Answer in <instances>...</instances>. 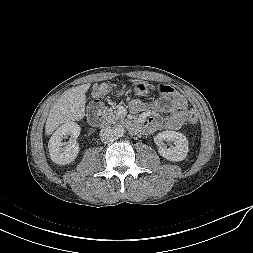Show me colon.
<instances>
[{
	"mask_svg": "<svg viewBox=\"0 0 253 253\" xmlns=\"http://www.w3.org/2000/svg\"><path fill=\"white\" fill-rule=\"evenodd\" d=\"M158 91L160 94L165 96H171L175 93V89L171 85L167 84L159 85ZM188 122L192 125H195L198 122V114L194 111H191L188 115Z\"/></svg>",
	"mask_w": 253,
	"mask_h": 253,
	"instance_id": "5ec220e1",
	"label": "colon"
}]
</instances>
